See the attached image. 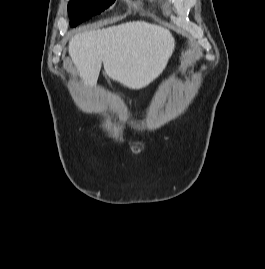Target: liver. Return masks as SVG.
<instances>
[{
    "instance_id": "obj_1",
    "label": "liver",
    "mask_w": 265,
    "mask_h": 269,
    "mask_svg": "<svg viewBox=\"0 0 265 269\" xmlns=\"http://www.w3.org/2000/svg\"><path fill=\"white\" fill-rule=\"evenodd\" d=\"M175 49L169 30L143 21L79 33L69 42V55L84 85H96L104 73L130 89H141L165 69Z\"/></svg>"
}]
</instances>
